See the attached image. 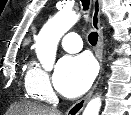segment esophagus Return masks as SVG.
Masks as SVG:
<instances>
[{
  "mask_svg": "<svg viewBox=\"0 0 131 115\" xmlns=\"http://www.w3.org/2000/svg\"><path fill=\"white\" fill-rule=\"evenodd\" d=\"M100 15H101V1L100 0H93V13H92V26L93 28L98 32V42L95 50V55L99 61L100 65V72L99 76L94 83L92 89L88 92V94L82 98L81 100L74 103L66 112V115H79L80 112L85 107L86 103L91 98L95 88L98 85L101 73H102V53H103V33H102V27L100 22Z\"/></svg>",
  "mask_w": 131,
  "mask_h": 115,
  "instance_id": "obj_1",
  "label": "esophagus"
}]
</instances>
